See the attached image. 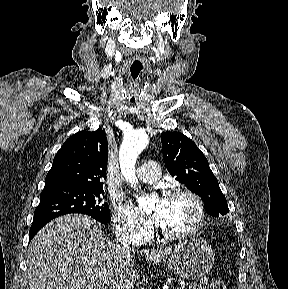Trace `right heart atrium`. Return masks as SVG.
<instances>
[{
    "label": "right heart atrium",
    "instance_id": "right-heart-atrium-1",
    "mask_svg": "<svg viewBox=\"0 0 288 289\" xmlns=\"http://www.w3.org/2000/svg\"><path fill=\"white\" fill-rule=\"evenodd\" d=\"M112 224L115 234L120 239L132 244L145 242L152 233L149 222L141 219L122 204L115 205Z\"/></svg>",
    "mask_w": 288,
    "mask_h": 289
}]
</instances>
